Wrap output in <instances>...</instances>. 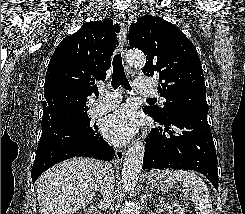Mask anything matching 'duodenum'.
I'll list each match as a JSON object with an SVG mask.
<instances>
[{
    "label": "duodenum",
    "instance_id": "duodenum-1",
    "mask_svg": "<svg viewBox=\"0 0 245 214\" xmlns=\"http://www.w3.org/2000/svg\"><path fill=\"white\" fill-rule=\"evenodd\" d=\"M91 214H100L97 210H92Z\"/></svg>",
    "mask_w": 245,
    "mask_h": 214
}]
</instances>
